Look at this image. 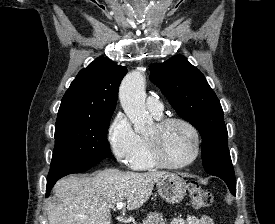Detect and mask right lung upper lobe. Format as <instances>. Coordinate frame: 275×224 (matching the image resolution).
I'll return each instance as SVG.
<instances>
[{
  "label": "right lung upper lobe",
  "mask_w": 275,
  "mask_h": 224,
  "mask_svg": "<svg viewBox=\"0 0 275 224\" xmlns=\"http://www.w3.org/2000/svg\"><path fill=\"white\" fill-rule=\"evenodd\" d=\"M127 69L106 57L80 70L62 98L57 120L112 116Z\"/></svg>",
  "instance_id": "obj_1"
}]
</instances>
